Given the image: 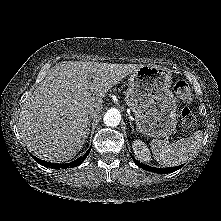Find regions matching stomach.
I'll return each mask as SVG.
<instances>
[{"label":"stomach","instance_id":"0dacf381","mask_svg":"<svg viewBox=\"0 0 221 221\" xmlns=\"http://www.w3.org/2000/svg\"><path fill=\"white\" fill-rule=\"evenodd\" d=\"M171 84V72L155 65H142L128 79L126 103L135 114L137 130L146 137H167L175 131L177 102Z\"/></svg>","mask_w":221,"mask_h":221}]
</instances>
